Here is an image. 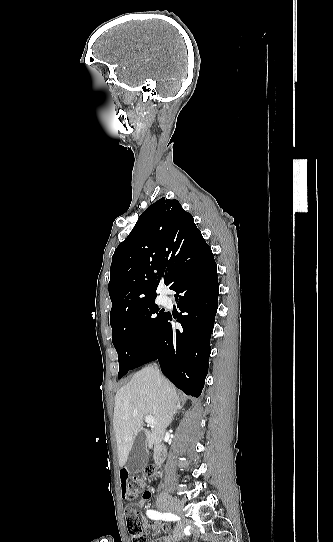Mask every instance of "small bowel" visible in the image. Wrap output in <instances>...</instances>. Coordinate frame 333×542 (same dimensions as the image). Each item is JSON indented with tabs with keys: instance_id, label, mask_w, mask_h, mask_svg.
I'll list each match as a JSON object with an SVG mask.
<instances>
[{
	"instance_id": "small-bowel-1",
	"label": "small bowel",
	"mask_w": 333,
	"mask_h": 542,
	"mask_svg": "<svg viewBox=\"0 0 333 542\" xmlns=\"http://www.w3.org/2000/svg\"><path fill=\"white\" fill-rule=\"evenodd\" d=\"M127 477H128L127 472L125 470H121L120 475H119V478L121 479V481L123 482V480L126 479ZM154 494H155V489L154 488L150 487V488L145 489L144 494H143V498L137 504L138 507H146L149 500L152 499ZM129 512H131V511L129 510L128 513ZM134 513H136L141 518V520L143 522V525L146 528L152 530L155 533L160 532V531L166 532V531L169 530V525L167 523H159V524H156V525H151L150 522H149L148 516L146 514H143L142 512H140L138 510V508H136ZM184 534H185L184 528L182 526H180V525H177L171 531L170 535H168L167 537L161 539L160 542H177L178 540H180L184 536Z\"/></svg>"
}]
</instances>
